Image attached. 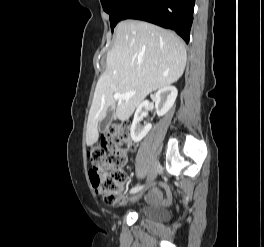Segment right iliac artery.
<instances>
[{
	"instance_id": "1",
	"label": "right iliac artery",
	"mask_w": 264,
	"mask_h": 247,
	"mask_svg": "<svg viewBox=\"0 0 264 247\" xmlns=\"http://www.w3.org/2000/svg\"><path fill=\"white\" fill-rule=\"evenodd\" d=\"M143 187L144 186H136L130 190V193H136V192L140 191L141 189H143Z\"/></svg>"
}]
</instances>
